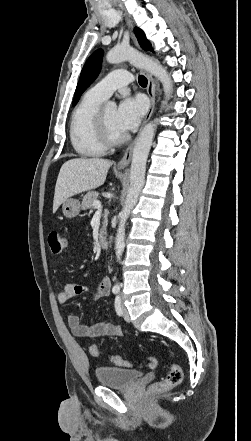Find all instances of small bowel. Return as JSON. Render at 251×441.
I'll list each match as a JSON object with an SVG mask.
<instances>
[{"instance_id":"small-bowel-1","label":"small bowel","mask_w":251,"mask_h":441,"mask_svg":"<svg viewBox=\"0 0 251 441\" xmlns=\"http://www.w3.org/2000/svg\"><path fill=\"white\" fill-rule=\"evenodd\" d=\"M110 280L103 277L94 287L83 284L68 283L63 289L57 292L56 297L59 303L65 304L74 297L82 294H90L93 299L106 297L110 293ZM68 326L74 336L81 338H93L101 336H122V328L110 322H98L93 325H84L75 314L67 315Z\"/></svg>"}]
</instances>
